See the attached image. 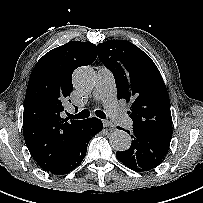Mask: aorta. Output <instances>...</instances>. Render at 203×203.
<instances>
[{"label": "aorta", "mask_w": 203, "mask_h": 203, "mask_svg": "<svg viewBox=\"0 0 203 203\" xmlns=\"http://www.w3.org/2000/svg\"><path fill=\"white\" fill-rule=\"evenodd\" d=\"M73 83L75 88L81 92H89L96 83L94 71L88 67H80L73 74ZM110 145L116 151H126L130 148L131 137L123 130H115L111 133Z\"/></svg>", "instance_id": "762f6f07"}]
</instances>
